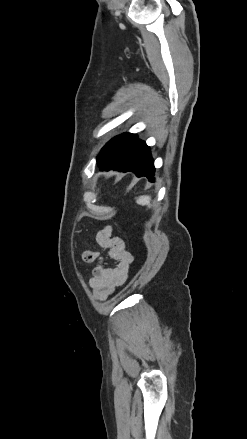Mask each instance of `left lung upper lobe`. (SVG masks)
<instances>
[{
	"label": "left lung upper lobe",
	"mask_w": 247,
	"mask_h": 439,
	"mask_svg": "<svg viewBox=\"0 0 247 439\" xmlns=\"http://www.w3.org/2000/svg\"><path fill=\"white\" fill-rule=\"evenodd\" d=\"M136 139L137 136L131 133L114 137L102 148L97 157L98 164L109 169H122Z\"/></svg>",
	"instance_id": "1"
}]
</instances>
